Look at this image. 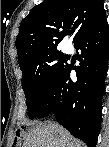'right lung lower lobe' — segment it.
Wrapping results in <instances>:
<instances>
[{"mask_svg":"<svg viewBox=\"0 0 109 147\" xmlns=\"http://www.w3.org/2000/svg\"><path fill=\"white\" fill-rule=\"evenodd\" d=\"M74 47L80 50L78 66L65 65L36 118L53 114L74 137L95 147L100 132L101 100L108 70L109 32L105 16L83 34ZM77 80L70 78L71 70Z\"/></svg>","mask_w":109,"mask_h":147,"instance_id":"1","label":"right lung lower lobe"}]
</instances>
